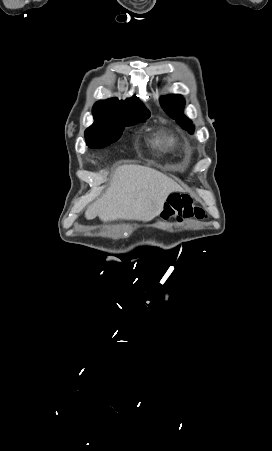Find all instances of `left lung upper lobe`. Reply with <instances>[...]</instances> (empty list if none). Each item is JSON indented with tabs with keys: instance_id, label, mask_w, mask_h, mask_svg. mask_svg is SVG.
I'll return each mask as SVG.
<instances>
[{
	"instance_id": "5c2ea615",
	"label": "left lung upper lobe",
	"mask_w": 272,
	"mask_h": 451,
	"mask_svg": "<svg viewBox=\"0 0 272 451\" xmlns=\"http://www.w3.org/2000/svg\"><path fill=\"white\" fill-rule=\"evenodd\" d=\"M160 103L170 117L175 119L181 127L188 130L190 133H193L194 126L192 125L191 120L182 114L185 102L181 95L171 94L161 97Z\"/></svg>"
}]
</instances>
